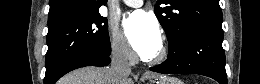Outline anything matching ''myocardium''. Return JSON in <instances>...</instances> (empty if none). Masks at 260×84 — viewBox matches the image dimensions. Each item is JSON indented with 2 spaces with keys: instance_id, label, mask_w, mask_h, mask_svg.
Returning a JSON list of instances; mask_svg holds the SVG:
<instances>
[{
  "instance_id": "f54148a6",
  "label": "myocardium",
  "mask_w": 260,
  "mask_h": 84,
  "mask_svg": "<svg viewBox=\"0 0 260 84\" xmlns=\"http://www.w3.org/2000/svg\"><path fill=\"white\" fill-rule=\"evenodd\" d=\"M167 54H168L167 46L165 43H162L158 52L154 56L143 58V61L151 65H157L162 63L166 59Z\"/></svg>"
}]
</instances>
